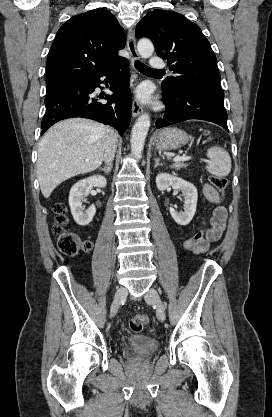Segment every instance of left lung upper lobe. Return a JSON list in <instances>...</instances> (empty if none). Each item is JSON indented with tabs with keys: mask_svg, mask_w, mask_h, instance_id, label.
I'll list each match as a JSON object with an SVG mask.
<instances>
[{
	"mask_svg": "<svg viewBox=\"0 0 272 417\" xmlns=\"http://www.w3.org/2000/svg\"><path fill=\"white\" fill-rule=\"evenodd\" d=\"M136 37H148L158 56L167 59L175 76L162 87L169 92L187 88L203 96L223 101L217 59L201 29L183 15L154 10L136 27Z\"/></svg>",
	"mask_w": 272,
	"mask_h": 417,
	"instance_id": "5c2ea615",
	"label": "left lung upper lobe"
}]
</instances>
